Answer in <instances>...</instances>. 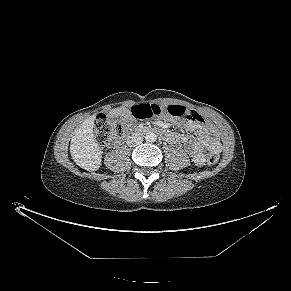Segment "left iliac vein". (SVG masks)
Here are the masks:
<instances>
[{"mask_svg":"<svg viewBox=\"0 0 291 291\" xmlns=\"http://www.w3.org/2000/svg\"><path fill=\"white\" fill-rule=\"evenodd\" d=\"M147 142H150V140H148ZM140 143H143V141H140Z\"/></svg>","mask_w":291,"mask_h":291,"instance_id":"left-iliac-vein-1","label":"left iliac vein"}]
</instances>
